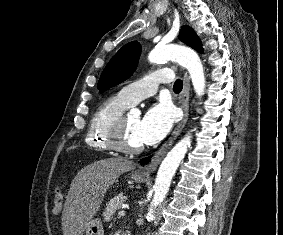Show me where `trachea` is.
<instances>
[{"label":"trachea","mask_w":283,"mask_h":235,"mask_svg":"<svg viewBox=\"0 0 283 235\" xmlns=\"http://www.w3.org/2000/svg\"><path fill=\"white\" fill-rule=\"evenodd\" d=\"M182 88H183L182 80L177 79L174 83V86H173L174 92L179 93V92H181Z\"/></svg>","instance_id":"trachea-1"}]
</instances>
